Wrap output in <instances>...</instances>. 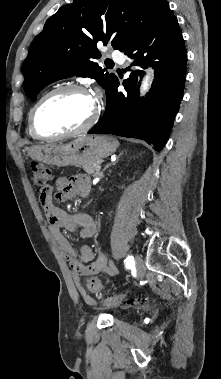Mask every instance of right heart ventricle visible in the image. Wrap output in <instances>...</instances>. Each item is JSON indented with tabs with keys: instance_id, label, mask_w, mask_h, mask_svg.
I'll list each match as a JSON object with an SVG mask.
<instances>
[{
	"instance_id": "1",
	"label": "right heart ventricle",
	"mask_w": 221,
	"mask_h": 379,
	"mask_svg": "<svg viewBox=\"0 0 221 379\" xmlns=\"http://www.w3.org/2000/svg\"><path fill=\"white\" fill-rule=\"evenodd\" d=\"M28 132H29V135L32 137V138H36L33 133L31 132V129H30V126H29V116H28Z\"/></svg>"
}]
</instances>
